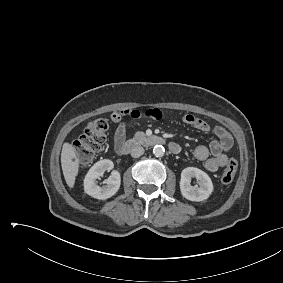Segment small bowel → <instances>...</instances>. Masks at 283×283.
<instances>
[{
	"instance_id": "c3829d8e",
	"label": "small bowel",
	"mask_w": 283,
	"mask_h": 283,
	"mask_svg": "<svg viewBox=\"0 0 283 283\" xmlns=\"http://www.w3.org/2000/svg\"><path fill=\"white\" fill-rule=\"evenodd\" d=\"M143 115L158 120L161 119L162 112L159 109L152 108L145 112L134 109L115 111L112 113L111 122L116 125L114 133V147L117 152L119 151V148L124 144L126 138V129L123 122L124 116L138 118ZM182 121L186 125L191 126L201 132L207 133L211 130L210 125L206 121L192 114L184 115L182 117ZM213 131L216 138L211 141L210 145L208 147L200 145L194 150V157L197 160L203 161L204 168L209 172L217 171L219 168L224 167L227 164V152L233 145L232 136L225 128L216 126ZM172 144L177 147L179 152L180 146L176 143Z\"/></svg>"
}]
</instances>
